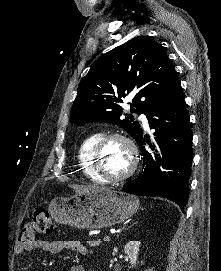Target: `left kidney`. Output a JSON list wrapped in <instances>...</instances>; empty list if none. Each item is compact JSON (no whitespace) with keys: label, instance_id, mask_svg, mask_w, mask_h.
Returning <instances> with one entry per match:
<instances>
[{"label":"left kidney","instance_id":"left-kidney-1","mask_svg":"<svg viewBox=\"0 0 221 271\" xmlns=\"http://www.w3.org/2000/svg\"><path fill=\"white\" fill-rule=\"evenodd\" d=\"M141 241H128L124 245V251L130 259L131 265H136Z\"/></svg>","mask_w":221,"mask_h":271}]
</instances>
